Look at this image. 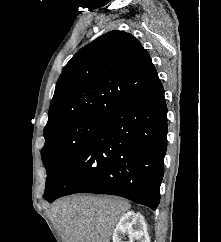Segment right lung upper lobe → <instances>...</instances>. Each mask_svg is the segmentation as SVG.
<instances>
[{
	"instance_id": "right-lung-upper-lobe-1",
	"label": "right lung upper lobe",
	"mask_w": 221,
	"mask_h": 242,
	"mask_svg": "<svg viewBox=\"0 0 221 242\" xmlns=\"http://www.w3.org/2000/svg\"><path fill=\"white\" fill-rule=\"evenodd\" d=\"M158 78L148 52L131 34L111 31L81 48L64 67L44 132L83 119H104Z\"/></svg>"
}]
</instances>
